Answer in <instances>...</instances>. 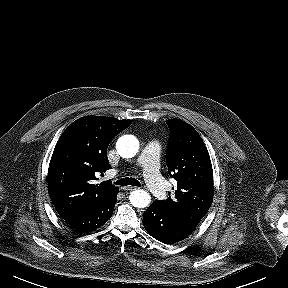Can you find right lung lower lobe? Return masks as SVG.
<instances>
[{
    "label": "right lung lower lobe",
    "mask_w": 288,
    "mask_h": 288,
    "mask_svg": "<svg viewBox=\"0 0 288 288\" xmlns=\"http://www.w3.org/2000/svg\"><path fill=\"white\" fill-rule=\"evenodd\" d=\"M117 194L118 192L90 210L65 215L62 218L80 233L94 231L111 218L117 201Z\"/></svg>",
    "instance_id": "1"
}]
</instances>
